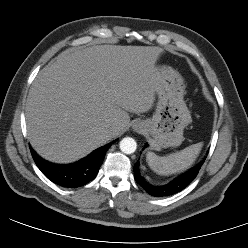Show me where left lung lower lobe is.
I'll list each match as a JSON object with an SVG mask.
<instances>
[{"label":"left lung lower lobe","mask_w":248,"mask_h":248,"mask_svg":"<svg viewBox=\"0 0 248 248\" xmlns=\"http://www.w3.org/2000/svg\"><path fill=\"white\" fill-rule=\"evenodd\" d=\"M206 157L195 167L178 176L174 180L165 185H151L148 183L139 172V163L134 166V178L136 182L150 195L155 197H164L176 194L186 188L197 176Z\"/></svg>","instance_id":"0a47b994"}]
</instances>
